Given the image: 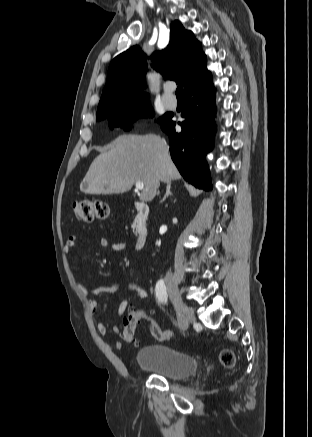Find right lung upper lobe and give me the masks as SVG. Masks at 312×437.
<instances>
[{"label":"right lung upper lobe","mask_w":312,"mask_h":437,"mask_svg":"<svg viewBox=\"0 0 312 437\" xmlns=\"http://www.w3.org/2000/svg\"><path fill=\"white\" fill-rule=\"evenodd\" d=\"M152 60L165 78L184 83V91L210 75L201 43L177 20L170 27L169 45L153 53ZM145 73L146 55L140 47L133 46L116 56L108 69L97 117L109 115L125 105L148 102V96L142 92Z\"/></svg>","instance_id":"cb5924a9"}]
</instances>
